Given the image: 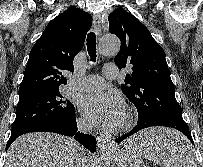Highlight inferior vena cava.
<instances>
[{
    "label": "inferior vena cava",
    "mask_w": 203,
    "mask_h": 167,
    "mask_svg": "<svg viewBox=\"0 0 203 167\" xmlns=\"http://www.w3.org/2000/svg\"><path fill=\"white\" fill-rule=\"evenodd\" d=\"M77 126H78V130L83 133H90L92 130V126L90 124H87L85 121H78ZM81 164H82V167L86 166L83 159Z\"/></svg>",
    "instance_id": "obj_1"
}]
</instances>
